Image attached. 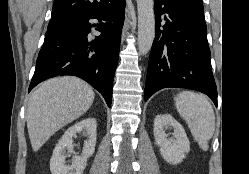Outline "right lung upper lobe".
<instances>
[{
    "mask_svg": "<svg viewBox=\"0 0 249 174\" xmlns=\"http://www.w3.org/2000/svg\"><path fill=\"white\" fill-rule=\"evenodd\" d=\"M113 2L114 0H54L48 28L75 16L101 11Z\"/></svg>",
    "mask_w": 249,
    "mask_h": 174,
    "instance_id": "right-lung-upper-lobe-1",
    "label": "right lung upper lobe"
}]
</instances>
